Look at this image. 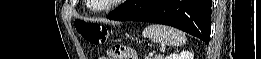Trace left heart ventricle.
Here are the masks:
<instances>
[{
	"mask_svg": "<svg viewBox=\"0 0 261 59\" xmlns=\"http://www.w3.org/2000/svg\"><path fill=\"white\" fill-rule=\"evenodd\" d=\"M93 3H95V5L99 7L107 3V0H95L93 1Z\"/></svg>",
	"mask_w": 261,
	"mask_h": 59,
	"instance_id": "b2bd125f",
	"label": "left heart ventricle"
}]
</instances>
